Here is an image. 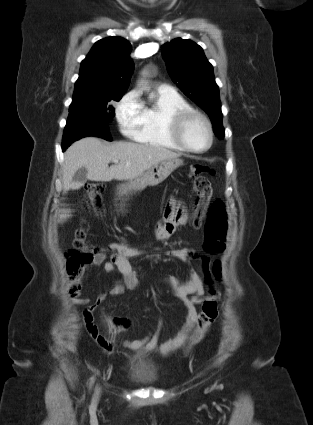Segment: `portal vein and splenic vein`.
Instances as JSON below:
<instances>
[{"mask_svg":"<svg viewBox=\"0 0 313 425\" xmlns=\"http://www.w3.org/2000/svg\"><path fill=\"white\" fill-rule=\"evenodd\" d=\"M112 161H113V163H115V164L119 163V160H117V159H113Z\"/></svg>","mask_w":313,"mask_h":425,"instance_id":"obj_1","label":"portal vein and splenic vein"}]
</instances>
